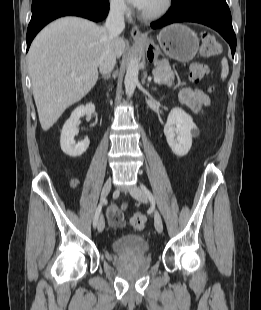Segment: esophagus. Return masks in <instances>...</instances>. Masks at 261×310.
I'll use <instances>...</instances> for the list:
<instances>
[{
    "label": "esophagus",
    "instance_id": "1",
    "mask_svg": "<svg viewBox=\"0 0 261 310\" xmlns=\"http://www.w3.org/2000/svg\"><path fill=\"white\" fill-rule=\"evenodd\" d=\"M131 37L135 40H144L146 37L142 34L137 26H133L131 29Z\"/></svg>",
    "mask_w": 261,
    "mask_h": 310
}]
</instances>
